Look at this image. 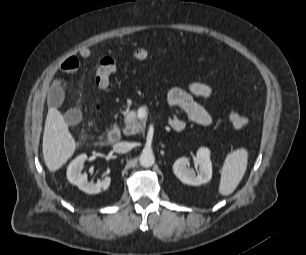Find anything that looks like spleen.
Instances as JSON below:
<instances>
[{
  "label": "spleen",
  "instance_id": "obj_1",
  "mask_svg": "<svg viewBox=\"0 0 306 255\" xmlns=\"http://www.w3.org/2000/svg\"><path fill=\"white\" fill-rule=\"evenodd\" d=\"M248 152L241 148L229 153L224 161L219 184V193L228 196L239 185L246 171Z\"/></svg>",
  "mask_w": 306,
  "mask_h": 255
}]
</instances>
